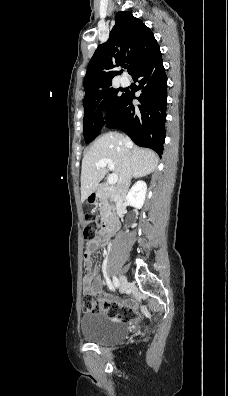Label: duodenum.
<instances>
[{"instance_id":"1","label":"duodenum","mask_w":228,"mask_h":396,"mask_svg":"<svg viewBox=\"0 0 228 396\" xmlns=\"http://www.w3.org/2000/svg\"><path fill=\"white\" fill-rule=\"evenodd\" d=\"M94 197H97V192L93 193ZM120 226L118 215L110 214L106 216L103 220L104 232L108 235L114 234L118 231Z\"/></svg>"}]
</instances>
